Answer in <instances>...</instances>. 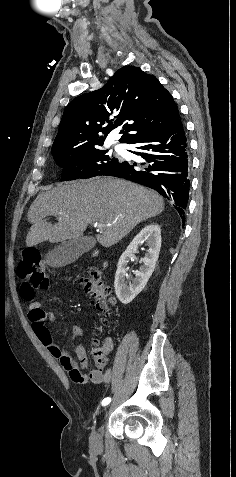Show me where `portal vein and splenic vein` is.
I'll list each match as a JSON object with an SVG mask.
<instances>
[{"mask_svg":"<svg viewBox=\"0 0 236 477\" xmlns=\"http://www.w3.org/2000/svg\"><path fill=\"white\" fill-rule=\"evenodd\" d=\"M94 226L97 228V230H100L103 227L102 224H98V223H95Z\"/></svg>","mask_w":236,"mask_h":477,"instance_id":"obj_1","label":"portal vein and splenic vein"}]
</instances>
